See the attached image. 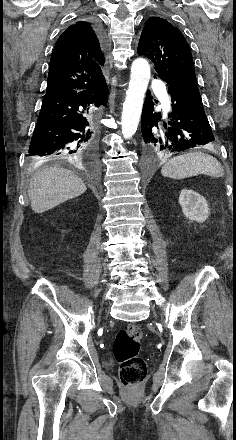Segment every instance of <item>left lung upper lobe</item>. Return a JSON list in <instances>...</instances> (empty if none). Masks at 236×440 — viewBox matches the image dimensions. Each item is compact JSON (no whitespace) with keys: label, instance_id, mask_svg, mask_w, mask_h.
<instances>
[{"label":"left lung upper lobe","instance_id":"1","mask_svg":"<svg viewBox=\"0 0 236 440\" xmlns=\"http://www.w3.org/2000/svg\"><path fill=\"white\" fill-rule=\"evenodd\" d=\"M137 52L154 63L158 76L167 83L180 77L196 78L185 37L166 19L152 17L147 20Z\"/></svg>","mask_w":236,"mask_h":440}]
</instances>
